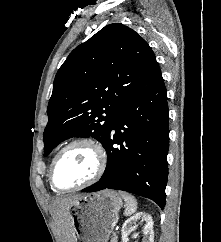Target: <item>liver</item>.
Wrapping results in <instances>:
<instances>
[{
  "label": "liver",
  "mask_w": 221,
  "mask_h": 242,
  "mask_svg": "<svg viewBox=\"0 0 221 242\" xmlns=\"http://www.w3.org/2000/svg\"><path fill=\"white\" fill-rule=\"evenodd\" d=\"M79 198L80 196L59 198L52 203L55 221L62 234L61 242H73V226L70 220L69 208Z\"/></svg>",
  "instance_id": "obj_1"
}]
</instances>
